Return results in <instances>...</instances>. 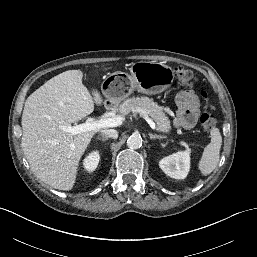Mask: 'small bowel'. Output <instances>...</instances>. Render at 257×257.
Here are the masks:
<instances>
[{
	"mask_svg": "<svg viewBox=\"0 0 257 257\" xmlns=\"http://www.w3.org/2000/svg\"><path fill=\"white\" fill-rule=\"evenodd\" d=\"M178 106L174 125L185 129L192 128L199 114V100L192 90H183L176 97Z\"/></svg>",
	"mask_w": 257,
	"mask_h": 257,
	"instance_id": "1",
	"label": "small bowel"
}]
</instances>
